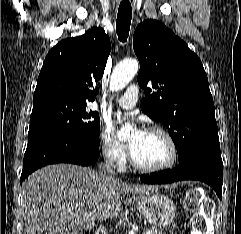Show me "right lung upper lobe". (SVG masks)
<instances>
[{"mask_svg":"<svg viewBox=\"0 0 241 234\" xmlns=\"http://www.w3.org/2000/svg\"><path fill=\"white\" fill-rule=\"evenodd\" d=\"M111 50L100 27L60 41L47 54L33 96V106L50 102L85 104L95 99Z\"/></svg>","mask_w":241,"mask_h":234,"instance_id":"right-lung-upper-lobe-1","label":"right lung upper lobe"}]
</instances>
